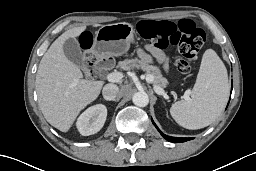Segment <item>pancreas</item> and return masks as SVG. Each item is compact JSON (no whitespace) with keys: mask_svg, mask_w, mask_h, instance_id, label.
Masks as SVG:
<instances>
[{"mask_svg":"<svg viewBox=\"0 0 256 171\" xmlns=\"http://www.w3.org/2000/svg\"><path fill=\"white\" fill-rule=\"evenodd\" d=\"M140 60L137 58L127 59L119 63V66L124 70H130L133 68L141 69L145 71L146 75L153 76V85L159 86L161 88H165L167 85V81L162 77L161 71L158 67L150 65L152 62V58L150 55L142 52L140 54Z\"/></svg>","mask_w":256,"mask_h":171,"instance_id":"cf45deb5","label":"pancreas"}]
</instances>
